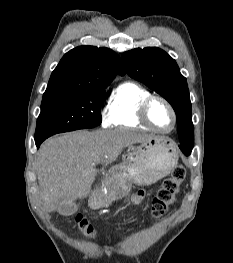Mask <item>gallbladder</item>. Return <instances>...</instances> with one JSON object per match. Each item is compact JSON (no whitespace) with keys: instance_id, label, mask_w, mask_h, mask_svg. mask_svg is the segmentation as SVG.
<instances>
[{"instance_id":"1","label":"gallbladder","mask_w":233,"mask_h":263,"mask_svg":"<svg viewBox=\"0 0 233 263\" xmlns=\"http://www.w3.org/2000/svg\"><path fill=\"white\" fill-rule=\"evenodd\" d=\"M78 210V205L76 203H71L69 205H64L62 206L58 212L59 214H61L62 216H71L73 214H75Z\"/></svg>"}]
</instances>
